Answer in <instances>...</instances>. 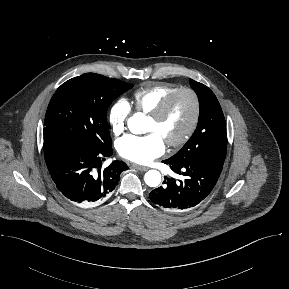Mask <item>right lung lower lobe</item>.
<instances>
[{"label": "right lung lower lobe", "mask_w": 289, "mask_h": 289, "mask_svg": "<svg viewBox=\"0 0 289 289\" xmlns=\"http://www.w3.org/2000/svg\"><path fill=\"white\" fill-rule=\"evenodd\" d=\"M45 153V161L58 190L74 203L102 201L116 187L122 171L128 166L113 161L101 168L102 161L111 156V145L91 149L79 144H68Z\"/></svg>", "instance_id": "98d812e1"}]
</instances>
